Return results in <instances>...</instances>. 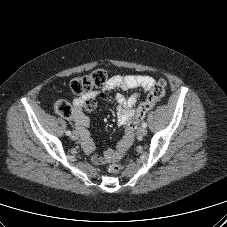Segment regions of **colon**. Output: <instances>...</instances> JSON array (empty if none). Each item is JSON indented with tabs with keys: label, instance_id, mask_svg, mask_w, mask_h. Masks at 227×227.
Listing matches in <instances>:
<instances>
[{
	"label": "colon",
	"instance_id": "1",
	"mask_svg": "<svg viewBox=\"0 0 227 227\" xmlns=\"http://www.w3.org/2000/svg\"><path fill=\"white\" fill-rule=\"evenodd\" d=\"M108 71L105 69H97L89 75L74 78L70 82V88L74 94L83 95L89 93L94 88L102 87L108 81ZM166 91V81L158 80L150 90L147 99L142 103L135 113L134 120H142L146 113L153 108L155 103L160 100ZM55 112L65 118H70L73 114L71 105L63 100L58 99L54 103ZM122 169V164L119 159L112 161L108 167L109 172L118 173Z\"/></svg>",
	"mask_w": 227,
	"mask_h": 227
}]
</instances>
